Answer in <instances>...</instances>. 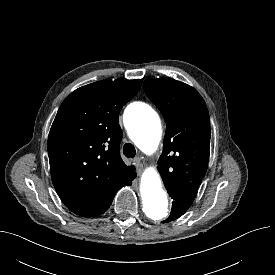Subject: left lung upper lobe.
Masks as SVG:
<instances>
[{
    "mask_svg": "<svg viewBox=\"0 0 275 275\" xmlns=\"http://www.w3.org/2000/svg\"><path fill=\"white\" fill-rule=\"evenodd\" d=\"M144 90L166 120L158 170L166 188L198 191L210 154L207 106L193 87L169 77L146 79Z\"/></svg>",
    "mask_w": 275,
    "mask_h": 275,
    "instance_id": "5c2ea615",
    "label": "left lung upper lobe"
}]
</instances>
